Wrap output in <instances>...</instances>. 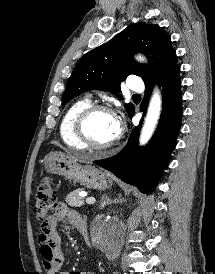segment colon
Masks as SVG:
<instances>
[{
  "instance_id": "obj_1",
  "label": "colon",
  "mask_w": 215,
  "mask_h": 274,
  "mask_svg": "<svg viewBox=\"0 0 215 274\" xmlns=\"http://www.w3.org/2000/svg\"><path fill=\"white\" fill-rule=\"evenodd\" d=\"M57 192L49 179L45 178L39 185L35 195V216L38 220L46 221L57 207Z\"/></svg>"
}]
</instances>
